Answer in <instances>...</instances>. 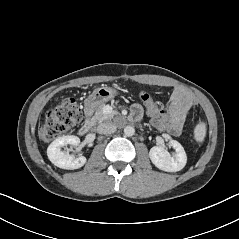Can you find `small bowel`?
Instances as JSON below:
<instances>
[{
    "label": "small bowel",
    "instance_id": "c3829d8e",
    "mask_svg": "<svg viewBox=\"0 0 239 239\" xmlns=\"http://www.w3.org/2000/svg\"><path fill=\"white\" fill-rule=\"evenodd\" d=\"M191 101V97L187 92L183 90L173 92L168 110V115L171 118V126L168 129V133L175 136L181 133L185 118L191 106ZM142 113V106L140 104H134L131 109V119L135 121L139 120Z\"/></svg>",
    "mask_w": 239,
    "mask_h": 239
}]
</instances>
